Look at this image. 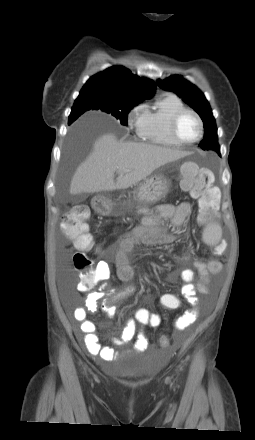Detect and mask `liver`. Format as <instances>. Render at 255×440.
Segmentation results:
<instances>
[{
  "instance_id": "1",
  "label": "liver",
  "mask_w": 255,
  "mask_h": 440,
  "mask_svg": "<svg viewBox=\"0 0 255 440\" xmlns=\"http://www.w3.org/2000/svg\"><path fill=\"white\" fill-rule=\"evenodd\" d=\"M188 153L157 145L119 142L114 134L100 136L77 168L70 184L72 195L127 189L159 167ZM115 172L118 174L114 180Z\"/></svg>"
}]
</instances>
